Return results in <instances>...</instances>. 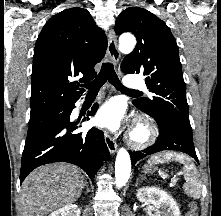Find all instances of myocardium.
<instances>
[{
    "mask_svg": "<svg viewBox=\"0 0 221 216\" xmlns=\"http://www.w3.org/2000/svg\"><path fill=\"white\" fill-rule=\"evenodd\" d=\"M158 136L155 121L148 116L137 118L129 136V144L135 148H142L153 143Z\"/></svg>",
    "mask_w": 221,
    "mask_h": 216,
    "instance_id": "myocardium-1",
    "label": "myocardium"
}]
</instances>
